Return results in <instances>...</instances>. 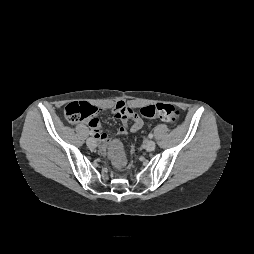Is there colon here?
Returning <instances> with one entry per match:
<instances>
[{
  "label": "colon",
  "mask_w": 254,
  "mask_h": 254,
  "mask_svg": "<svg viewBox=\"0 0 254 254\" xmlns=\"http://www.w3.org/2000/svg\"><path fill=\"white\" fill-rule=\"evenodd\" d=\"M97 109L87 103H71L64 108L63 114L65 119L70 123L81 121L91 122L96 118ZM142 116L150 119H160L168 124H175L180 117L179 110L171 104L157 103L141 108ZM111 157L117 167L125 165L123 152L118 143H113L110 150Z\"/></svg>",
  "instance_id": "colon-1"
}]
</instances>
